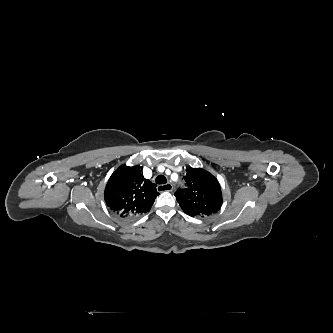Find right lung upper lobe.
Wrapping results in <instances>:
<instances>
[{"label": "right lung upper lobe", "mask_w": 333, "mask_h": 333, "mask_svg": "<svg viewBox=\"0 0 333 333\" xmlns=\"http://www.w3.org/2000/svg\"><path fill=\"white\" fill-rule=\"evenodd\" d=\"M139 166L122 165L110 177L105 188L107 206L121 217L146 213L153 205L156 184L145 179Z\"/></svg>", "instance_id": "1"}]
</instances>
